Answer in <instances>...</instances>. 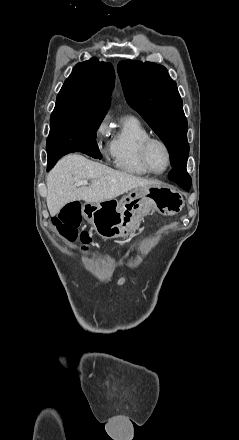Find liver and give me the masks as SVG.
<instances>
[{
  "mask_svg": "<svg viewBox=\"0 0 239 440\" xmlns=\"http://www.w3.org/2000/svg\"><path fill=\"white\" fill-rule=\"evenodd\" d=\"M91 180V186L76 188V182ZM159 180H145L126 172L112 170L108 166L91 162L79 154H69L57 162L47 176V206L50 216L59 214L69 202H106L126 194L135 188H155Z\"/></svg>",
  "mask_w": 239,
  "mask_h": 440,
  "instance_id": "1",
  "label": "liver"
}]
</instances>
